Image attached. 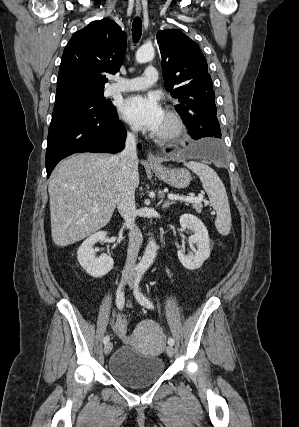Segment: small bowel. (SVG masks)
I'll list each match as a JSON object with an SVG mask.
<instances>
[{"label": "small bowel", "instance_id": "obj_1", "mask_svg": "<svg viewBox=\"0 0 299 427\" xmlns=\"http://www.w3.org/2000/svg\"><path fill=\"white\" fill-rule=\"evenodd\" d=\"M120 318H121V317H119V318H118V319L113 323V330H114V332L117 334V336H118L121 340L126 341V340H128V339H129V337H130V336H124V335L119 334V333L117 332L116 324H117V322H118V320H119Z\"/></svg>", "mask_w": 299, "mask_h": 427}]
</instances>
